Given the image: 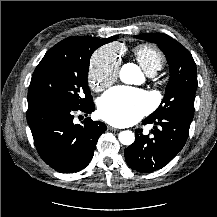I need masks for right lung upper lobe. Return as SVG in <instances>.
Masks as SVG:
<instances>
[{"label": "right lung upper lobe", "mask_w": 217, "mask_h": 217, "mask_svg": "<svg viewBox=\"0 0 217 217\" xmlns=\"http://www.w3.org/2000/svg\"><path fill=\"white\" fill-rule=\"evenodd\" d=\"M81 37H83V36L69 37L67 39H64L63 41L75 40V39H79ZM117 38H118V36H112V37H109V38H106V39H98V40H99V42L101 43V46H102V45H104L106 43L115 41Z\"/></svg>", "instance_id": "right-lung-upper-lobe-1"}]
</instances>
